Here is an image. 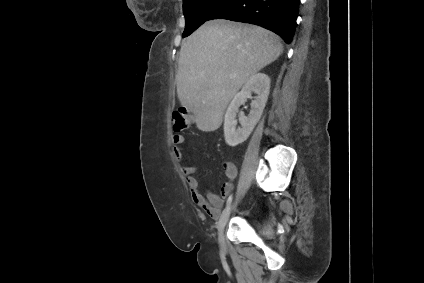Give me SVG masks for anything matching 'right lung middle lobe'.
Segmentation results:
<instances>
[{"mask_svg": "<svg viewBox=\"0 0 424 283\" xmlns=\"http://www.w3.org/2000/svg\"><path fill=\"white\" fill-rule=\"evenodd\" d=\"M228 0H184L183 11L186 20L183 37L190 35L212 15L223 7Z\"/></svg>", "mask_w": 424, "mask_h": 283, "instance_id": "right-lung-middle-lobe-1", "label": "right lung middle lobe"}]
</instances>
